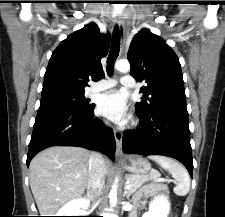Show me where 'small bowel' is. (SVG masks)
<instances>
[{
	"mask_svg": "<svg viewBox=\"0 0 225 217\" xmlns=\"http://www.w3.org/2000/svg\"><path fill=\"white\" fill-rule=\"evenodd\" d=\"M164 192V187L158 183H151L141 187L133 196V203L140 204L147 197L158 195ZM130 217H136L135 212H132Z\"/></svg>",
	"mask_w": 225,
	"mask_h": 217,
	"instance_id": "1",
	"label": "small bowel"
}]
</instances>
